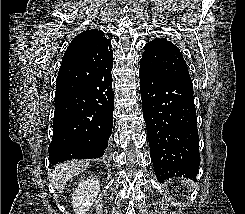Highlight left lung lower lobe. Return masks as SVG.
Listing matches in <instances>:
<instances>
[{
	"label": "left lung lower lobe",
	"mask_w": 245,
	"mask_h": 214,
	"mask_svg": "<svg viewBox=\"0 0 245 214\" xmlns=\"http://www.w3.org/2000/svg\"><path fill=\"white\" fill-rule=\"evenodd\" d=\"M139 77L157 180L184 177L196 181L200 153L192 81L166 77L143 67Z\"/></svg>",
	"instance_id": "obj_1"
}]
</instances>
